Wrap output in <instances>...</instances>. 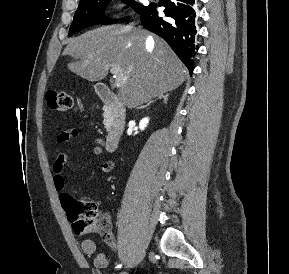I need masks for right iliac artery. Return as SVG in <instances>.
Returning <instances> with one entry per match:
<instances>
[{
    "mask_svg": "<svg viewBox=\"0 0 289 274\" xmlns=\"http://www.w3.org/2000/svg\"><path fill=\"white\" fill-rule=\"evenodd\" d=\"M116 268H121V264L117 265Z\"/></svg>",
    "mask_w": 289,
    "mask_h": 274,
    "instance_id": "82829eb1",
    "label": "right iliac artery"
}]
</instances>
